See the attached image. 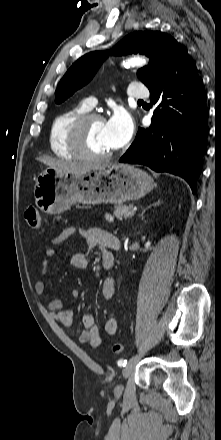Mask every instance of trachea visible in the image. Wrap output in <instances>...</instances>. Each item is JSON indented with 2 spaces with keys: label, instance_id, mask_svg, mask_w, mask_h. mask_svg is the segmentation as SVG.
Masks as SVG:
<instances>
[{
  "label": "trachea",
  "instance_id": "3493384b",
  "mask_svg": "<svg viewBox=\"0 0 221 440\" xmlns=\"http://www.w3.org/2000/svg\"><path fill=\"white\" fill-rule=\"evenodd\" d=\"M139 102H143V100H139Z\"/></svg>",
  "mask_w": 221,
  "mask_h": 440
}]
</instances>
